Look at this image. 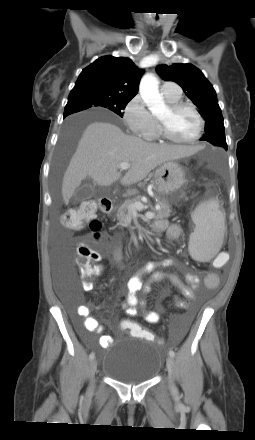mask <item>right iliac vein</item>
<instances>
[{
    "mask_svg": "<svg viewBox=\"0 0 255 440\" xmlns=\"http://www.w3.org/2000/svg\"><path fill=\"white\" fill-rule=\"evenodd\" d=\"M97 370V360L92 359L89 366V377H90V387H93L94 384V375Z\"/></svg>",
    "mask_w": 255,
    "mask_h": 440,
    "instance_id": "63e3f726",
    "label": "right iliac vein"
}]
</instances>
